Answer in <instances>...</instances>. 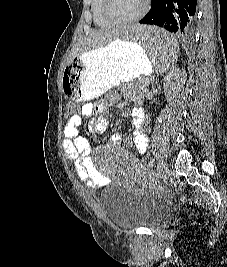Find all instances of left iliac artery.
<instances>
[{"mask_svg":"<svg viewBox=\"0 0 227 267\" xmlns=\"http://www.w3.org/2000/svg\"><path fill=\"white\" fill-rule=\"evenodd\" d=\"M154 165V159L151 161V166H153Z\"/></svg>","mask_w":227,"mask_h":267,"instance_id":"44dca946","label":"left iliac artery"}]
</instances>
